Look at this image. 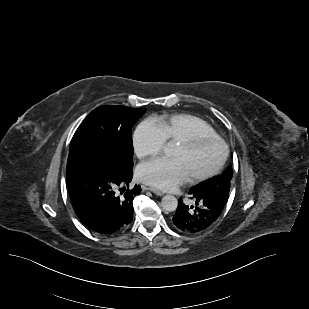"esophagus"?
Returning <instances> with one entry per match:
<instances>
[{"label": "esophagus", "instance_id": "esophagus-1", "mask_svg": "<svg viewBox=\"0 0 309 309\" xmlns=\"http://www.w3.org/2000/svg\"><path fill=\"white\" fill-rule=\"evenodd\" d=\"M151 192H153L154 194L158 195V196H163L165 193L157 188H153L150 187L148 188Z\"/></svg>", "mask_w": 309, "mask_h": 309}]
</instances>
